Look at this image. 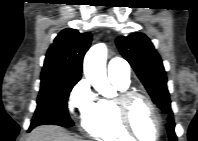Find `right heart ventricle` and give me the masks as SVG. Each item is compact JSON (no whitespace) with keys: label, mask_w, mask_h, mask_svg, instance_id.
<instances>
[{"label":"right heart ventricle","mask_w":198,"mask_h":141,"mask_svg":"<svg viewBox=\"0 0 198 141\" xmlns=\"http://www.w3.org/2000/svg\"><path fill=\"white\" fill-rule=\"evenodd\" d=\"M119 91L128 90L129 83L111 81ZM83 127L91 136L105 141H131L133 138L122 127L112 99H99L84 120Z\"/></svg>","instance_id":"right-heart-ventricle-1"}]
</instances>
